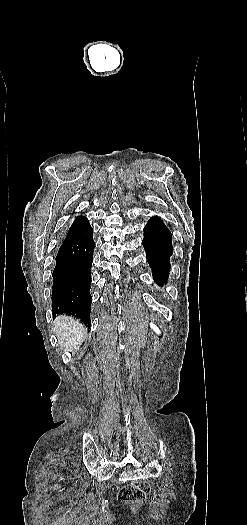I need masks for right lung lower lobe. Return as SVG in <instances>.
<instances>
[{"label": "right lung lower lobe", "mask_w": 247, "mask_h": 525, "mask_svg": "<svg viewBox=\"0 0 247 525\" xmlns=\"http://www.w3.org/2000/svg\"><path fill=\"white\" fill-rule=\"evenodd\" d=\"M94 247L93 229L89 224L65 237L52 274L53 316L69 314L90 325V270Z\"/></svg>", "instance_id": "right-lung-lower-lobe-1"}]
</instances>
